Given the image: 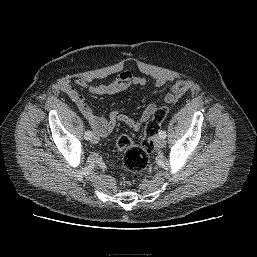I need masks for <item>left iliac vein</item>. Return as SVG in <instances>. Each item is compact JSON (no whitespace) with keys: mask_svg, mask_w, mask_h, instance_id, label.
I'll return each instance as SVG.
<instances>
[{"mask_svg":"<svg viewBox=\"0 0 257 257\" xmlns=\"http://www.w3.org/2000/svg\"><path fill=\"white\" fill-rule=\"evenodd\" d=\"M156 145L159 147V148H163L165 145H166V140L162 137H158L156 139Z\"/></svg>","mask_w":257,"mask_h":257,"instance_id":"left-iliac-vein-1","label":"left iliac vein"}]
</instances>
